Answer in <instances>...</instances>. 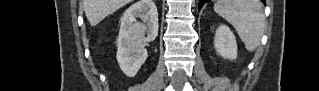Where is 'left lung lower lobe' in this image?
I'll return each mask as SVG.
<instances>
[{
    "mask_svg": "<svg viewBox=\"0 0 319 91\" xmlns=\"http://www.w3.org/2000/svg\"><path fill=\"white\" fill-rule=\"evenodd\" d=\"M205 1L207 0H199V9L203 6V4L205 3ZM263 3H265V0H261Z\"/></svg>",
    "mask_w": 319,
    "mask_h": 91,
    "instance_id": "left-lung-lower-lobe-1",
    "label": "left lung lower lobe"
}]
</instances>
